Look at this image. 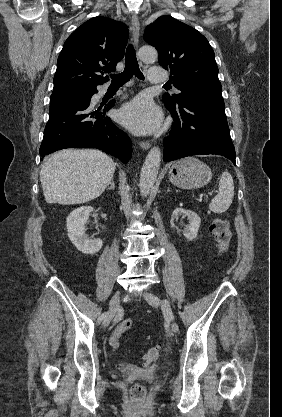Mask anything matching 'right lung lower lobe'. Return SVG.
I'll use <instances>...</instances> for the list:
<instances>
[{
    "mask_svg": "<svg viewBox=\"0 0 282 417\" xmlns=\"http://www.w3.org/2000/svg\"><path fill=\"white\" fill-rule=\"evenodd\" d=\"M92 92L50 103L49 121L44 130L40 155L44 157L65 148L100 149L127 163L131 158V140L105 113L114 103L97 107ZM42 160V158H41Z\"/></svg>",
    "mask_w": 282,
    "mask_h": 417,
    "instance_id": "98d812e1",
    "label": "right lung lower lobe"
}]
</instances>
